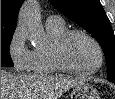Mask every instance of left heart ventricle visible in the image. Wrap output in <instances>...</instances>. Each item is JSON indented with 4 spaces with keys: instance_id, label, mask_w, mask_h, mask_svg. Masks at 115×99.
<instances>
[{
    "instance_id": "left-heart-ventricle-1",
    "label": "left heart ventricle",
    "mask_w": 115,
    "mask_h": 99,
    "mask_svg": "<svg viewBox=\"0 0 115 99\" xmlns=\"http://www.w3.org/2000/svg\"><path fill=\"white\" fill-rule=\"evenodd\" d=\"M68 62L81 70H89L98 64V53L95 46L84 36L75 35L65 47Z\"/></svg>"
}]
</instances>
